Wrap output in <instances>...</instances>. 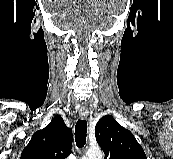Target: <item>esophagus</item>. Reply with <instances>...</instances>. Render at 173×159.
I'll return each mask as SVG.
<instances>
[{"label": "esophagus", "instance_id": "34e87169", "mask_svg": "<svg viewBox=\"0 0 173 159\" xmlns=\"http://www.w3.org/2000/svg\"><path fill=\"white\" fill-rule=\"evenodd\" d=\"M88 115H89L88 109L85 108V107H82V108L80 109L79 116H80L82 119H86V118L88 117Z\"/></svg>", "mask_w": 173, "mask_h": 159}]
</instances>
